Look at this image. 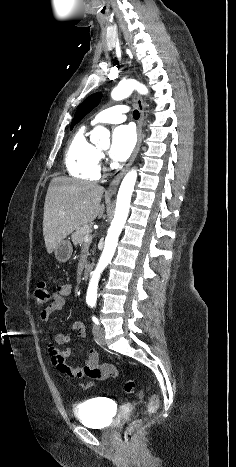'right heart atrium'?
I'll return each mask as SVG.
<instances>
[{
    "label": "right heart atrium",
    "mask_w": 236,
    "mask_h": 467,
    "mask_svg": "<svg viewBox=\"0 0 236 467\" xmlns=\"http://www.w3.org/2000/svg\"><path fill=\"white\" fill-rule=\"evenodd\" d=\"M100 161L105 162V156L103 154H100Z\"/></svg>",
    "instance_id": "1"
}]
</instances>
